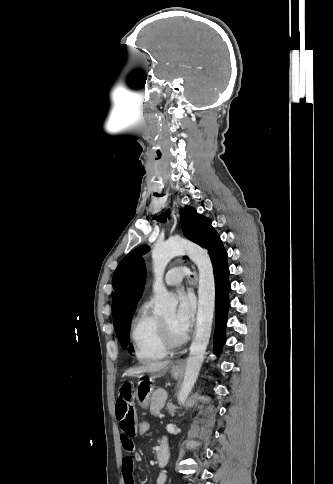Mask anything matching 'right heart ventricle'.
Returning <instances> with one entry per match:
<instances>
[{"label":"right heart ventricle","instance_id":"1","mask_svg":"<svg viewBox=\"0 0 333 484\" xmlns=\"http://www.w3.org/2000/svg\"><path fill=\"white\" fill-rule=\"evenodd\" d=\"M131 338L137 359L151 363L163 359L167 354L159 329V318L155 316L147 302L137 310L131 324Z\"/></svg>","mask_w":333,"mask_h":484}]
</instances>
